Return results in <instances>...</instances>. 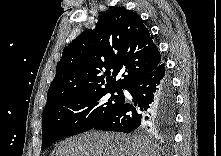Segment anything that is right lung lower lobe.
<instances>
[{
    "instance_id": "right-lung-lower-lobe-1",
    "label": "right lung lower lobe",
    "mask_w": 221,
    "mask_h": 156,
    "mask_svg": "<svg viewBox=\"0 0 221 156\" xmlns=\"http://www.w3.org/2000/svg\"><path fill=\"white\" fill-rule=\"evenodd\" d=\"M133 102H125L94 129L133 132L139 128L172 127L175 117V96L164 63L142 74L126 88Z\"/></svg>"
}]
</instances>
